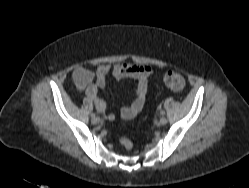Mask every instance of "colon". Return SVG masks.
Wrapping results in <instances>:
<instances>
[{"mask_svg":"<svg viewBox=\"0 0 249 188\" xmlns=\"http://www.w3.org/2000/svg\"><path fill=\"white\" fill-rule=\"evenodd\" d=\"M164 83L173 91H181L184 88L185 81L183 76L175 71H168L163 76ZM120 144L126 149L132 148V142L127 138H120Z\"/></svg>","mask_w":249,"mask_h":188,"instance_id":"colon-1","label":"colon"}]
</instances>
